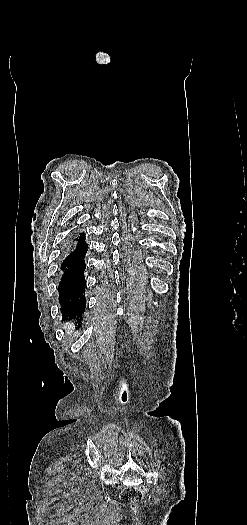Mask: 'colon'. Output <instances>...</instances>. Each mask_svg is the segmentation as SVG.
Returning a JSON list of instances; mask_svg holds the SVG:
<instances>
[{"instance_id":"5ec220e1","label":"colon","mask_w":247,"mask_h":525,"mask_svg":"<svg viewBox=\"0 0 247 525\" xmlns=\"http://www.w3.org/2000/svg\"><path fill=\"white\" fill-rule=\"evenodd\" d=\"M146 493H147V488L145 486L127 487L122 490L120 494V498L123 501L141 500L144 498Z\"/></svg>"}]
</instances>
